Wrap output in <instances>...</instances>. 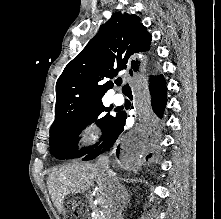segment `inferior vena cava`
<instances>
[{"label": "inferior vena cava", "instance_id": "obj_1", "mask_svg": "<svg viewBox=\"0 0 221 219\" xmlns=\"http://www.w3.org/2000/svg\"><path fill=\"white\" fill-rule=\"evenodd\" d=\"M97 164L102 174L108 175L111 181V191H115V198L110 204L106 214V219H123L122 212L126 203V195L123 190H120V181L118 175H115L109 169V157L107 154H102L98 157Z\"/></svg>", "mask_w": 221, "mask_h": 219}]
</instances>
